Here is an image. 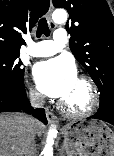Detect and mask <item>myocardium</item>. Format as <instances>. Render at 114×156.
Masks as SVG:
<instances>
[{
  "label": "myocardium",
  "instance_id": "myocardium-1",
  "mask_svg": "<svg viewBox=\"0 0 114 156\" xmlns=\"http://www.w3.org/2000/svg\"><path fill=\"white\" fill-rule=\"evenodd\" d=\"M78 80L87 86L90 95V102L89 105L82 110H73L70 107H68L63 100L60 101V110L63 114L71 118H81L89 116L97 110L100 104L99 91L94 81L86 75L79 76Z\"/></svg>",
  "mask_w": 114,
  "mask_h": 156
}]
</instances>
